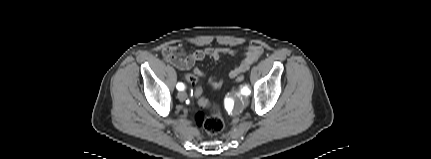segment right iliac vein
Segmentation results:
<instances>
[{
  "label": "right iliac vein",
  "mask_w": 431,
  "mask_h": 159,
  "mask_svg": "<svg viewBox=\"0 0 431 159\" xmlns=\"http://www.w3.org/2000/svg\"><path fill=\"white\" fill-rule=\"evenodd\" d=\"M187 98V94L184 91L178 93V99L184 101Z\"/></svg>",
  "instance_id": "1"
}]
</instances>
